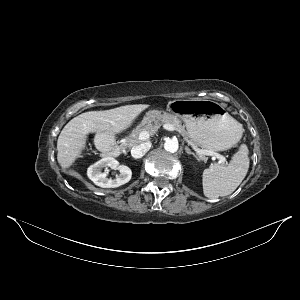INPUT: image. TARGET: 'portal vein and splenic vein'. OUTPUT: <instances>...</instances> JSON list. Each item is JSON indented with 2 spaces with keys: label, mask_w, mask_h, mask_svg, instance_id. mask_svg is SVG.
Segmentation results:
<instances>
[{
  "label": "portal vein and splenic vein",
  "mask_w": 300,
  "mask_h": 300,
  "mask_svg": "<svg viewBox=\"0 0 300 300\" xmlns=\"http://www.w3.org/2000/svg\"><path fill=\"white\" fill-rule=\"evenodd\" d=\"M163 128L168 130V131H177L176 128L171 125V124H164ZM150 137L149 132L147 131H142L139 134V140L141 141H146L148 140ZM188 144L196 151V153L200 156H213L214 158H217L219 160L220 163H224L226 161L225 157L222 156L221 154L213 151V150H205V149H200L197 146H195L192 142L188 141Z\"/></svg>",
  "instance_id": "18ae733b"
}]
</instances>
